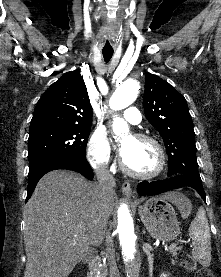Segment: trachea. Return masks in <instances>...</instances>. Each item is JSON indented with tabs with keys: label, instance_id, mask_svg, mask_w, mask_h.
Here are the masks:
<instances>
[{
	"label": "trachea",
	"instance_id": "trachea-1",
	"mask_svg": "<svg viewBox=\"0 0 221 277\" xmlns=\"http://www.w3.org/2000/svg\"><path fill=\"white\" fill-rule=\"evenodd\" d=\"M102 54H103L104 61L109 62L113 56V51H102Z\"/></svg>",
	"mask_w": 221,
	"mask_h": 277
}]
</instances>
